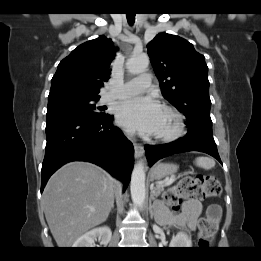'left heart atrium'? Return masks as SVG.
<instances>
[{"instance_id":"left-heart-atrium-1","label":"left heart atrium","mask_w":261,"mask_h":261,"mask_svg":"<svg viewBox=\"0 0 261 261\" xmlns=\"http://www.w3.org/2000/svg\"><path fill=\"white\" fill-rule=\"evenodd\" d=\"M165 111L150 96H137L122 101L117 107L118 123L128 131L141 135L158 134Z\"/></svg>"}]
</instances>
